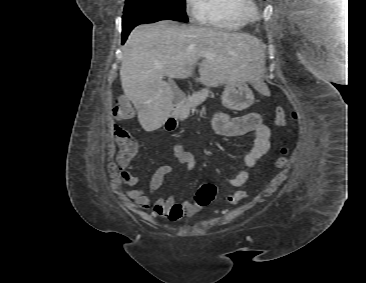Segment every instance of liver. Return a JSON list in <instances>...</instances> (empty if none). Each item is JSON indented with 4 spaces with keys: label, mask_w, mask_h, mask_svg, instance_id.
Returning a JSON list of instances; mask_svg holds the SVG:
<instances>
[{
    "label": "liver",
    "mask_w": 366,
    "mask_h": 283,
    "mask_svg": "<svg viewBox=\"0 0 366 283\" xmlns=\"http://www.w3.org/2000/svg\"><path fill=\"white\" fill-rule=\"evenodd\" d=\"M264 45L255 37L210 27L164 20L139 25L130 33L120 69L125 95L145 131L159 129L173 110V91L164 77H191L199 59L200 82L217 87L245 79L259 88L264 72ZM208 52V56L201 55ZM157 65H162L158 68Z\"/></svg>",
    "instance_id": "obj_1"
}]
</instances>
